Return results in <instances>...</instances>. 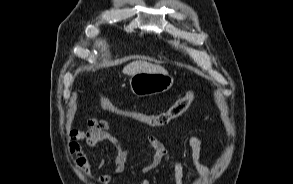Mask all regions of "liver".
<instances>
[{"label": "liver", "mask_w": 293, "mask_h": 184, "mask_svg": "<svg viewBox=\"0 0 293 184\" xmlns=\"http://www.w3.org/2000/svg\"><path fill=\"white\" fill-rule=\"evenodd\" d=\"M140 72L167 73L162 66L141 60L133 61L123 68V73L130 76Z\"/></svg>", "instance_id": "1"}]
</instances>
